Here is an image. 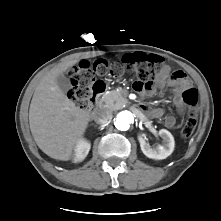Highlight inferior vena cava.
I'll return each instance as SVG.
<instances>
[{
	"instance_id": "obj_1",
	"label": "inferior vena cava",
	"mask_w": 221,
	"mask_h": 221,
	"mask_svg": "<svg viewBox=\"0 0 221 221\" xmlns=\"http://www.w3.org/2000/svg\"><path fill=\"white\" fill-rule=\"evenodd\" d=\"M112 117V112L108 109H100L94 113L93 119L97 124H106Z\"/></svg>"
}]
</instances>
